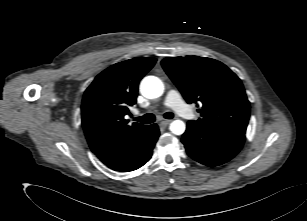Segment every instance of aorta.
<instances>
[{
	"label": "aorta",
	"mask_w": 307,
	"mask_h": 221,
	"mask_svg": "<svg viewBox=\"0 0 307 221\" xmlns=\"http://www.w3.org/2000/svg\"><path fill=\"white\" fill-rule=\"evenodd\" d=\"M141 94L149 99L160 97L164 92L162 81L155 76L145 77L140 84ZM170 131L175 135H181L185 132L186 126L182 120H174L171 122Z\"/></svg>",
	"instance_id": "obj_1"
}]
</instances>
